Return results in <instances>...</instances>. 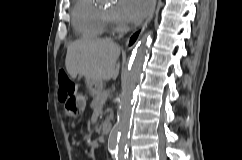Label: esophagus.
Returning <instances> with one entry per match:
<instances>
[{
	"mask_svg": "<svg viewBox=\"0 0 242 160\" xmlns=\"http://www.w3.org/2000/svg\"><path fill=\"white\" fill-rule=\"evenodd\" d=\"M156 3H157V0H154V5H153V8H152V11H151L149 17L146 19V21L141 25V27L139 29H137L136 31H134L128 37V39L126 41V49L127 50H131L136 45V43L138 42L140 36L142 35V33L144 32V30L148 26L149 22L151 21L153 15H154Z\"/></svg>",
	"mask_w": 242,
	"mask_h": 160,
	"instance_id": "34e87169",
	"label": "esophagus"
}]
</instances>
